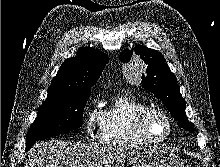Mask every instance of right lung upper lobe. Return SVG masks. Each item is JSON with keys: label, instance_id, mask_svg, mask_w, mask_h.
Here are the masks:
<instances>
[{"label": "right lung upper lobe", "instance_id": "1", "mask_svg": "<svg viewBox=\"0 0 220 167\" xmlns=\"http://www.w3.org/2000/svg\"><path fill=\"white\" fill-rule=\"evenodd\" d=\"M76 54V57L65 60L61 65L51 81L47 99L91 91L107 63V56L90 47H82Z\"/></svg>", "mask_w": 220, "mask_h": 167}]
</instances>
